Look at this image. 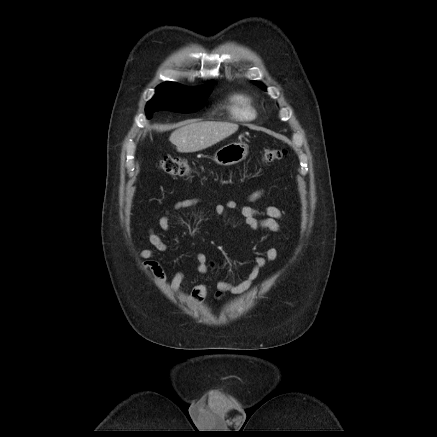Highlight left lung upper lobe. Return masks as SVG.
<instances>
[{"label":"left lung upper lobe","instance_id":"left-lung-upper-lobe-1","mask_svg":"<svg viewBox=\"0 0 437 437\" xmlns=\"http://www.w3.org/2000/svg\"><path fill=\"white\" fill-rule=\"evenodd\" d=\"M254 84H256L257 86H259L260 88H262L263 90H266L265 89V86L262 84V83H260V82H257V81H252Z\"/></svg>","mask_w":437,"mask_h":437}]
</instances>
